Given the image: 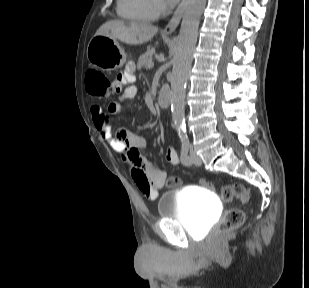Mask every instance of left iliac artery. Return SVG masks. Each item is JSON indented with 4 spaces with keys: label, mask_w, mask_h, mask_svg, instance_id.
I'll return each mask as SVG.
<instances>
[{
    "label": "left iliac artery",
    "mask_w": 309,
    "mask_h": 288,
    "mask_svg": "<svg viewBox=\"0 0 309 288\" xmlns=\"http://www.w3.org/2000/svg\"><path fill=\"white\" fill-rule=\"evenodd\" d=\"M181 144H182L181 155H180L181 162L184 165H190L191 164V159L188 156V151L190 149L189 139L186 138V137L182 138L181 139Z\"/></svg>",
    "instance_id": "44dca946"
}]
</instances>
